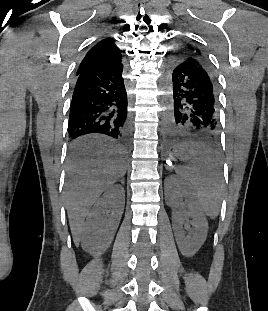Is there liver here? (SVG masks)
Returning <instances> with one entry per match:
<instances>
[{"instance_id":"6515ba94","label":"liver","mask_w":268,"mask_h":311,"mask_svg":"<svg viewBox=\"0 0 268 311\" xmlns=\"http://www.w3.org/2000/svg\"><path fill=\"white\" fill-rule=\"evenodd\" d=\"M118 145L81 140L67 164L66 209L74 242L80 241L84 220L102 192L126 173Z\"/></svg>"}]
</instances>
